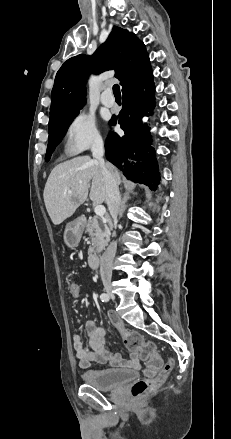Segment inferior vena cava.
<instances>
[{
	"label": "inferior vena cava",
	"instance_id": "obj_1",
	"mask_svg": "<svg viewBox=\"0 0 231 439\" xmlns=\"http://www.w3.org/2000/svg\"><path fill=\"white\" fill-rule=\"evenodd\" d=\"M92 155L99 162L103 169V175L106 185L107 205L110 214L113 218L114 224L117 221V216L120 210V194H119V180L113 172V167L109 163H105L104 144L103 141H95L92 145ZM117 244L115 241L111 242L103 255L100 258V275L102 281H110L112 277V263L115 257Z\"/></svg>",
	"mask_w": 231,
	"mask_h": 439
}]
</instances>
